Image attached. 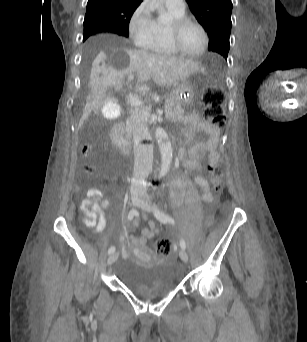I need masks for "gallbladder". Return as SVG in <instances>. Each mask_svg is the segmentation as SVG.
Returning <instances> with one entry per match:
<instances>
[{"label": "gallbladder", "instance_id": "obj_1", "mask_svg": "<svg viewBox=\"0 0 307 342\" xmlns=\"http://www.w3.org/2000/svg\"><path fill=\"white\" fill-rule=\"evenodd\" d=\"M121 107V104L116 99H107L104 105L106 110L104 113L105 118H118Z\"/></svg>", "mask_w": 307, "mask_h": 342}]
</instances>
